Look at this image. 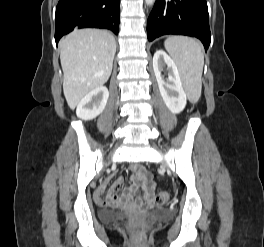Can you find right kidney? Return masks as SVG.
<instances>
[{
    "label": "right kidney",
    "mask_w": 264,
    "mask_h": 247,
    "mask_svg": "<svg viewBox=\"0 0 264 247\" xmlns=\"http://www.w3.org/2000/svg\"><path fill=\"white\" fill-rule=\"evenodd\" d=\"M109 91L106 87H98L86 94L78 103L76 115L82 120H92L100 115L108 101Z\"/></svg>",
    "instance_id": "right-kidney-1"
}]
</instances>
